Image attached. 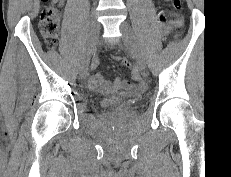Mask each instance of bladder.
I'll list each match as a JSON object with an SVG mask.
<instances>
[{"instance_id":"obj_1","label":"bladder","mask_w":231,"mask_h":177,"mask_svg":"<svg viewBox=\"0 0 231 177\" xmlns=\"http://www.w3.org/2000/svg\"><path fill=\"white\" fill-rule=\"evenodd\" d=\"M125 100L124 96L121 95H110L101 100V106L104 108L116 105Z\"/></svg>"}]
</instances>
